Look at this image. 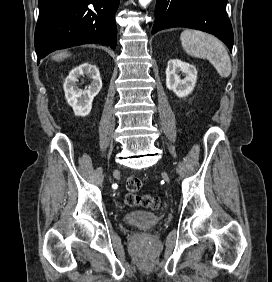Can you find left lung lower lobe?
<instances>
[{
	"instance_id": "obj_1",
	"label": "left lung lower lobe",
	"mask_w": 272,
	"mask_h": 282,
	"mask_svg": "<svg viewBox=\"0 0 272 282\" xmlns=\"http://www.w3.org/2000/svg\"><path fill=\"white\" fill-rule=\"evenodd\" d=\"M227 0H157L152 34L171 27L211 33L232 51L233 30L226 14Z\"/></svg>"
}]
</instances>
